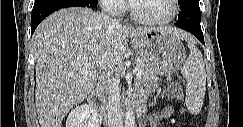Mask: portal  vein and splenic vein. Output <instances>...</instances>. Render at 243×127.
<instances>
[{"label":"portal vein and splenic vein","instance_id":"portal-vein-and-splenic-vein-1","mask_svg":"<svg viewBox=\"0 0 243 127\" xmlns=\"http://www.w3.org/2000/svg\"><path fill=\"white\" fill-rule=\"evenodd\" d=\"M92 68H93V66H92L91 64H85V65L83 66V72L87 73V72L90 71ZM133 73L136 74V75H138V76H140V75L142 74V70L136 67V68L133 70ZM108 75H109V73H108Z\"/></svg>","mask_w":243,"mask_h":127}]
</instances>
